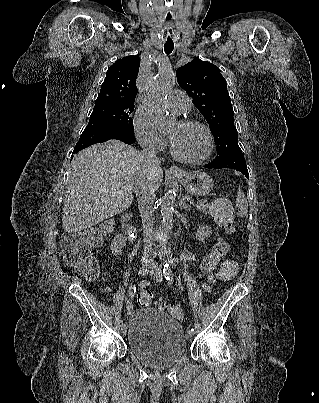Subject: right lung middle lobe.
I'll return each mask as SVG.
<instances>
[{"label":"right lung middle lobe","mask_w":319,"mask_h":403,"mask_svg":"<svg viewBox=\"0 0 319 403\" xmlns=\"http://www.w3.org/2000/svg\"><path fill=\"white\" fill-rule=\"evenodd\" d=\"M133 110V104L96 102L87 128L113 125L134 133L133 120L129 117Z\"/></svg>","instance_id":"dd1d6c3e"}]
</instances>
